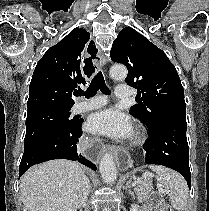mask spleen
<instances>
[{"mask_svg": "<svg viewBox=\"0 0 209 211\" xmlns=\"http://www.w3.org/2000/svg\"><path fill=\"white\" fill-rule=\"evenodd\" d=\"M150 168L158 175L161 186L169 195L173 208L178 211L185 210L188 187L184 178L179 173L163 166H151Z\"/></svg>", "mask_w": 209, "mask_h": 211, "instance_id": "1", "label": "spleen"}]
</instances>
